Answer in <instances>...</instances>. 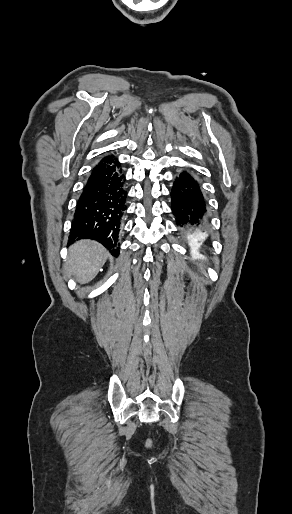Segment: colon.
Masks as SVG:
<instances>
[{
    "label": "colon",
    "mask_w": 292,
    "mask_h": 514,
    "mask_svg": "<svg viewBox=\"0 0 292 514\" xmlns=\"http://www.w3.org/2000/svg\"><path fill=\"white\" fill-rule=\"evenodd\" d=\"M151 441H148V447H150Z\"/></svg>",
    "instance_id": "1"
}]
</instances>
